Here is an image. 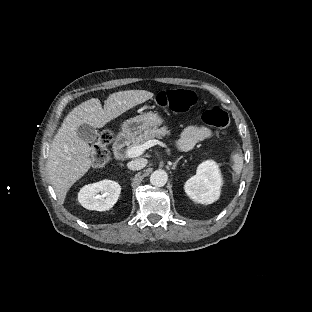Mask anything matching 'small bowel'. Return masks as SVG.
Instances as JSON below:
<instances>
[{"label":"small bowel","mask_w":312,"mask_h":312,"mask_svg":"<svg viewBox=\"0 0 312 312\" xmlns=\"http://www.w3.org/2000/svg\"><path fill=\"white\" fill-rule=\"evenodd\" d=\"M213 131L203 125H191L185 128L178 136L175 144L183 151L194 148L199 142L211 138Z\"/></svg>","instance_id":"1"}]
</instances>
